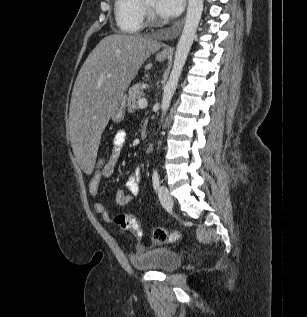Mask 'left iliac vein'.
Wrapping results in <instances>:
<instances>
[{
    "label": "left iliac vein",
    "mask_w": 307,
    "mask_h": 317,
    "mask_svg": "<svg viewBox=\"0 0 307 317\" xmlns=\"http://www.w3.org/2000/svg\"><path fill=\"white\" fill-rule=\"evenodd\" d=\"M159 200L161 204L166 208V209H171L173 207V199L172 196L165 186H160L159 188Z\"/></svg>",
    "instance_id": "obj_1"
}]
</instances>
